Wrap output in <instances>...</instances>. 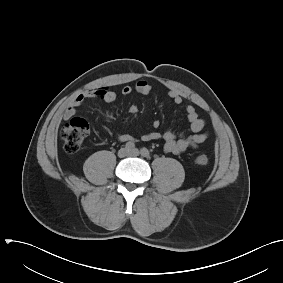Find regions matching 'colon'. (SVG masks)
<instances>
[{"mask_svg":"<svg viewBox=\"0 0 283 283\" xmlns=\"http://www.w3.org/2000/svg\"><path fill=\"white\" fill-rule=\"evenodd\" d=\"M88 131V123L79 117H75L64 124L60 136L65 150L68 152L77 151L81 147ZM194 162L196 165L203 167L208 165L209 157L204 153H200L195 157Z\"/></svg>","mask_w":283,"mask_h":283,"instance_id":"1","label":"colon"}]
</instances>
